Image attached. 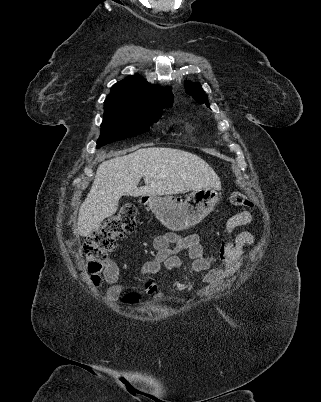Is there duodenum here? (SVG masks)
<instances>
[{
  "label": "duodenum",
  "instance_id": "410a0bca",
  "mask_svg": "<svg viewBox=\"0 0 321 402\" xmlns=\"http://www.w3.org/2000/svg\"><path fill=\"white\" fill-rule=\"evenodd\" d=\"M147 201H148V199H147L146 197H143V198L141 199V203H142V204L147 203Z\"/></svg>",
  "mask_w": 321,
  "mask_h": 402
}]
</instances>
